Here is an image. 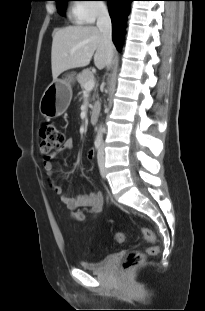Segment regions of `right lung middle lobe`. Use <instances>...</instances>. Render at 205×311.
Returning a JSON list of instances; mask_svg holds the SVG:
<instances>
[{
	"label": "right lung middle lobe",
	"instance_id": "right-lung-middle-lobe-1",
	"mask_svg": "<svg viewBox=\"0 0 205 311\" xmlns=\"http://www.w3.org/2000/svg\"><path fill=\"white\" fill-rule=\"evenodd\" d=\"M55 1H56V5H57V9H58L59 14L64 16L67 1H70V0H55Z\"/></svg>",
	"mask_w": 205,
	"mask_h": 311
}]
</instances>
